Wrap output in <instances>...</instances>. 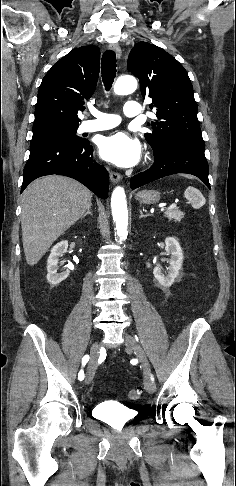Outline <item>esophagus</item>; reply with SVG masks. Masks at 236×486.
Segmentation results:
<instances>
[{"label":"esophagus","instance_id":"esophagus-1","mask_svg":"<svg viewBox=\"0 0 236 486\" xmlns=\"http://www.w3.org/2000/svg\"><path fill=\"white\" fill-rule=\"evenodd\" d=\"M110 47L115 52L117 58L120 59L121 55H122V51H121L120 46L118 44H113ZM109 176H110V179L113 183H118L122 179V176L119 173L114 172V171H110Z\"/></svg>","mask_w":236,"mask_h":486}]
</instances>
